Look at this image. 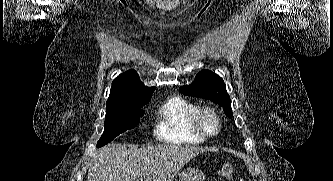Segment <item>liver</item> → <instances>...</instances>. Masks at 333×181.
I'll use <instances>...</instances> for the list:
<instances>
[{"label": "liver", "mask_w": 333, "mask_h": 181, "mask_svg": "<svg viewBox=\"0 0 333 181\" xmlns=\"http://www.w3.org/2000/svg\"><path fill=\"white\" fill-rule=\"evenodd\" d=\"M205 151L192 145L138 148L111 143L91 159L87 181H173L185 164Z\"/></svg>", "instance_id": "liver-1"}]
</instances>
